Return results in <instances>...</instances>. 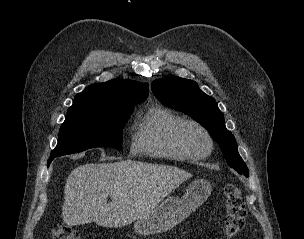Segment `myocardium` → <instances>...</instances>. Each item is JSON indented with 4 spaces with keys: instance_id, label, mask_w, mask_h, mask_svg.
<instances>
[{
    "instance_id": "myocardium-1",
    "label": "myocardium",
    "mask_w": 304,
    "mask_h": 239,
    "mask_svg": "<svg viewBox=\"0 0 304 239\" xmlns=\"http://www.w3.org/2000/svg\"><path fill=\"white\" fill-rule=\"evenodd\" d=\"M193 126L204 133L208 141V148L203 152H194L184 143L182 133L186 127ZM172 141L175 147L188 159H202L211 154L214 148V140L210 131L201 123L192 119H182L172 130Z\"/></svg>"
}]
</instances>
